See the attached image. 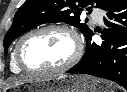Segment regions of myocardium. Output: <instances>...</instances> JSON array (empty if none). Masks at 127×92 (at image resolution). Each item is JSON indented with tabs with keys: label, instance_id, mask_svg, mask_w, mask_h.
Listing matches in <instances>:
<instances>
[{
	"label": "myocardium",
	"instance_id": "f54148a6",
	"mask_svg": "<svg viewBox=\"0 0 127 92\" xmlns=\"http://www.w3.org/2000/svg\"><path fill=\"white\" fill-rule=\"evenodd\" d=\"M48 30H60V31H64V32L68 33L74 42V52L71 55V57L65 63L60 65L59 67L50 68V69L29 68L24 63V60L22 57V48H23L25 42L29 38H31L32 36H34L38 33L48 31ZM81 54H82V44H81V40H80L77 32L72 27H70L68 25L57 24V23L43 25L41 27L35 28V29L27 32L24 36H22L20 38V40L18 41V43L15 47V50H14L16 64L22 71L29 73V74H53V73L65 72L68 69H70L71 67H73L79 61Z\"/></svg>",
	"mask_w": 127,
	"mask_h": 92
}]
</instances>
